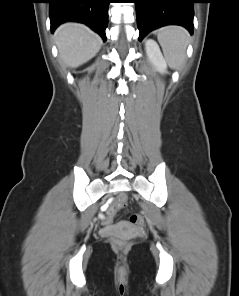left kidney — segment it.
I'll return each instance as SVG.
<instances>
[{
	"label": "left kidney",
	"instance_id": "5707ae66",
	"mask_svg": "<svg viewBox=\"0 0 239 296\" xmlns=\"http://www.w3.org/2000/svg\"><path fill=\"white\" fill-rule=\"evenodd\" d=\"M145 50L149 61L152 63L155 69L159 73L164 74L167 70V64L156 41L153 39H148L145 42Z\"/></svg>",
	"mask_w": 239,
	"mask_h": 296
}]
</instances>
